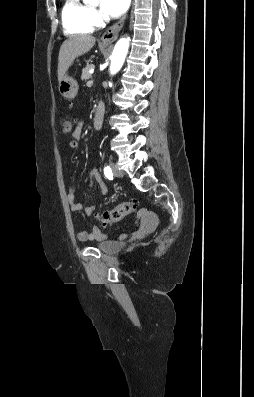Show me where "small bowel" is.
<instances>
[{
	"label": "small bowel",
	"mask_w": 254,
	"mask_h": 397,
	"mask_svg": "<svg viewBox=\"0 0 254 397\" xmlns=\"http://www.w3.org/2000/svg\"><path fill=\"white\" fill-rule=\"evenodd\" d=\"M83 122L80 121L73 133L72 139L69 142V148L73 151L79 148V139L82 134ZM90 186L94 183H98L102 196H105L108 192L107 186L103 182L99 170L94 167L89 173ZM67 201L72 212H84L87 215H91L97 209V204L91 206H84L82 203L76 200V194L74 187H70L67 193ZM142 222L147 223L149 221V215L146 211H141L139 214ZM76 237L79 241H93V240H103L106 238V235L101 232L98 227H94L91 231L79 230L76 233Z\"/></svg>",
	"instance_id": "obj_1"
}]
</instances>
